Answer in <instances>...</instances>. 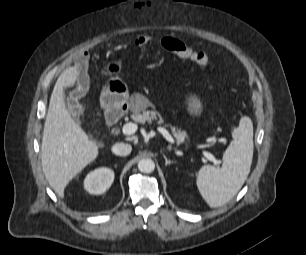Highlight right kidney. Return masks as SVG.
Segmentation results:
<instances>
[{
  "label": "right kidney",
  "instance_id": "1",
  "mask_svg": "<svg viewBox=\"0 0 306 255\" xmlns=\"http://www.w3.org/2000/svg\"><path fill=\"white\" fill-rule=\"evenodd\" d=\"M114 181V172L109 168H98L90 172L84 180V188L90 194H102Z\"/></svg>",
  "mask_w": 306,
  "mask_h": 255
}]
</instances>
